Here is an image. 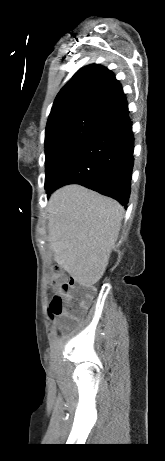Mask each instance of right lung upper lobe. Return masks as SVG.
Returning <instances> with one entry per match:
<instances>
[{"instance_id":"right-lung-upper-lobe-1","label":"right lung upper lobe","mask_w":165,"mask_h":461,"mask_svg":"<svg viewBox=\"0 0 165 461\" xmlns=\"http://www.w3.org/2000/svg\"><path fill=\"white\" fill-rule=\"evenodd\" d=\"M127 108L126 96L115 75L99 64H91L78 70L60 90L47 124L81 115L107 120Z\"/></svg>"}]
</instances>
